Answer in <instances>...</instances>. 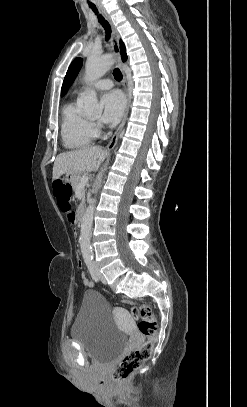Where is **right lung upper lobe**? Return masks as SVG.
Wrapping results in <instances>:
<instances>
[{"label":"right lung upper lobe","instance_id":"1","mask_svg":"<svg viewBox=\"0 0 247 407\" xmlns=\"http://www.w3.org/2000/svg\"><path fill=\"white\" fill-rule=\"evenodd\" d=\"M120 49H121V54H122V60L125 61L127 59V55H126L125 45L122 41H120Z\"/></svg>","mask_w":247,"mask_h":407}]
</instances>
